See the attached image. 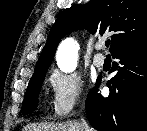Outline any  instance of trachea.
<instances>
[{
    "instance_id": "3493384b",
    "label": "trachea",
    "mask_w": 147,
    "mask_h": 131,
    "mask_svg": "<svg viewBox=\"0 0 147 131\" xmlns=\"http://www.w3.org/2000/svg\"><path fill=\"white\" fill-rule=\"evenodd\" d=\"M105 45H106V47H109V45H110V40H107V41L105 42Z\"/></svg>"
}]
</instances>
